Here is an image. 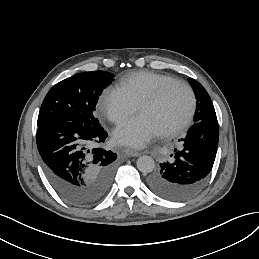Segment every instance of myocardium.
Segmentation results:
<instances>
[{"mask_svg":"<svg viewBox=\"0 0 259 259\" xmlns=\"http://www.w3.org/2000/svg\"><path fill=\"white\" fill-rule=\"evenodd\" d=\"M176 85H180L188 91L190 98L189 108L181 121H179L174 127L161 133V136L166 138L179 134L192 121L197 107V98L192 86L185 81L172 79L160 85L156 93L151 97L144 99L138 107V112H140L144 107L156 105L162 100L165 94Z\"/></svg>","mask_w":259,"mask_h":259,"instance_id":"myocardium-1","label":"myocardium"}]
</instances>
